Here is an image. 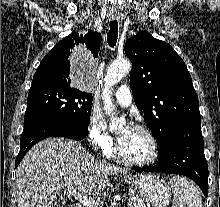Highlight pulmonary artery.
<instances>
[{"instance_id": "1", "label": "pulmonary artery", "mask_w": 220, "mask_h": 207, "mask_svg": "<svg viewBox=\"0 0 220 207\" xmlns=\"http://www.w3.org/2000/svg\"><path fill=\"white\" fill-rule=\"evenodd\" d=\"M117 102L122 106H129L132 102L130 88L127 85L120 86L114 93Z\"/></svg>"}]
</instances>
